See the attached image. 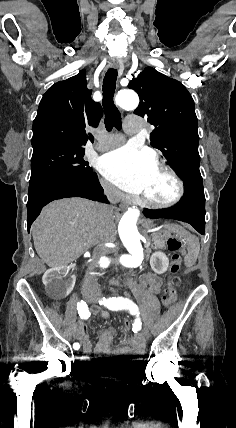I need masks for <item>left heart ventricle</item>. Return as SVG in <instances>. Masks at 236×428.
<instances>
[{
    "mask_svg": "<svg viewBox=\"0 0 236 428\" xmlns=\"http://www.w3.org/2000/svg\"><path fill=\"white\" fill-rule=\"evenodd\" d=\"M176 191L173 180L161 169L152 172L141 195L158 201L170 199Z\"/></svg>",
    "mask_w": 236,
    "mask_h": 428,
    "instance_id": "obj_1",
    "label": "left heart ventricle"
}]
</instances>
